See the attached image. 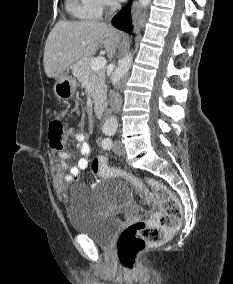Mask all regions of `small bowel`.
Returning a JSON list of instances; mask_svg holds the SVG:
<instances>
[{
  "instance_id": "obj_1",
  "label": "small bowel",
  "mask_w": 233,
  "mask_h": 284,
  "mask_svg": "<svg viewBox=\"0 0 233 284\" xmlns=\"http://www.w3.org/2000/svg\"><path fill=\"white\" fill-rule=\"evenodd\" d=\"M68 134L76 141V148L81 157L77 163L68 169V162L73 158L70 152H60L58 158L53 163V181L56 187L62 188L65 183L75 181L79 172L87 169L89 166L88 156L91 152V144L88 141V135L81 129L70 128Z\"/></svg>"
}]
</instances>
